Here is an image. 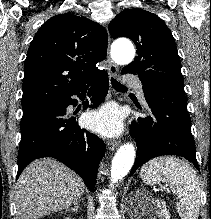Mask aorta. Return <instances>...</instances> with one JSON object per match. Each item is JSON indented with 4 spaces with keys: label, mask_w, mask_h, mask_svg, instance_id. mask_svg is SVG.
Masks as SVG:
<instances>
[{
    "label": "aorta",
    "mask_w": 211,
    "mask_h": 219,
    "mask_svg": "<svg viewBox=\"0 0 211 219\" xmlns=\"http://www.w3.org/2000/svg\"><path fill=\"white\" fill-rule=\"evenodd\" d=\"M112 59L120 65H127L134 59L135 49L130 41L116 43L111 51ZM135 159V148L131 143H126L117 150L111 165V183H117L125 177Z\"/></svg>",
    "instance_id": "obj_1"
}]
</instances>
